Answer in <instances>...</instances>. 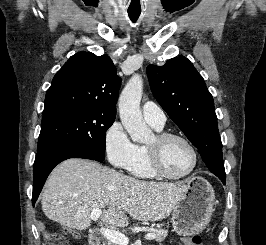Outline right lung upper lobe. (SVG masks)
<instances>
[{"label":"right lung upper lobe","instance_id":"obj_1","mask_svg":"<svg viewBox=\"0 0 266 245\" xmlns=\"http://www.w3.org/2000/svg\"><path fill=\"white\" fill-rule=\"evenodd\" d=\"M121 79L107 55H73L55 75L45 97L43 118L76 108H96L116 114Z\"/></svg>","mask_w":266,"mask_h":245}]
</instances>
